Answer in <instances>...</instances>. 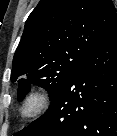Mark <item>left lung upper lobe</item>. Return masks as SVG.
I'll use <instances>...</instances> for the list:
<instances>
[{"mask_svg": "<svg viewBox=\"0 0 117 136\" xmlns=\"http://www.w3.org/2000/svg\"><path fill=\"white\" fill-rule=\"evenodd\" d=\"M117 25L111 0H41L29 15L16 49L11 81L22 100L32 84L50 98Z\"/></svg>", "mask_w": 117, "mask_h": 136, "instance_id": "1", "label": "left lung upper lobe"}]
</instances>
